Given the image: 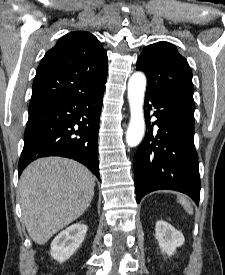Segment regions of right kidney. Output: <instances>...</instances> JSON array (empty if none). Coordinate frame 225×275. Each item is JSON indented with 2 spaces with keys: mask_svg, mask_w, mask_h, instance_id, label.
Returning <instances> with one entry per match:
<instances>
[{
  "mask_svg": "<svg viewBox=\"0 0 225 275\" xmlns=\"http://www.w3.org/2000/svg\"><path fill=\"white\" fill-rule=\"evenodd\" d=\"M88 227L76 223L60 232L51 242V256L58 262L69 259L84 241Z\"/></svg>",
  "mask_w": 225,
  "mask_h": 275,
  "instance_id": "ca27d5eb",
  "label": "right kidney"
}]
</instances>
